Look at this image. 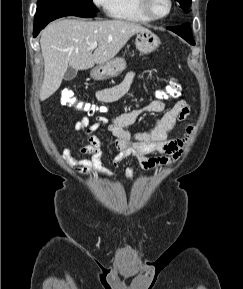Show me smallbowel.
<instances>
[{"label": "small bowel", "mask_w": 243, "mask_h": 289, "mask_svg": "<svg viewBox=\"0 0 243 289\" xmlns=\"http://www.w3.org/2000/svg\"><path fill=\"white\" fill-rule=\"evenodd\" d=\"M135 78L134 72H129L117 85L105 88L96 93L100 102L111 103L122 97L131 87ZM165 110V103L156 99L147 105L130 110L120 115L107 118L98 116L95 122H91L87 116L82 117L74 123L76 130L83 131L89 142L88 145H78L77 149L82 153L91 155L90 159H74L70 150L65 148L62 155L65 160L74 164L78 172L87 176L92 172H100L107 176L112 173L103 167L102 143L95 133L106 127L111 134L116 147V154L111 157V163L117 166L127 158H133L145 169L170 165L176 162L184 153L188 137L193 127L188 125L181 137L168 138V133L175 127L177 121H185L190 113V107L185 100L177 101L173 107L164 112L156 125L143 132L131 133L128 128L136 123L143 114H159ZM152 154H161L160 157H150ZM130 176L132 169H127Z\"/></svg>", "instance_id": "obj_1"}]
</instances>
